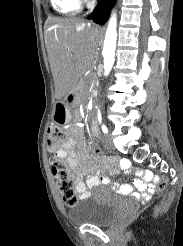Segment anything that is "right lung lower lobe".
I'll list each match as a JSON object with an SVG mask.
<instances>
[{
  "instance_id": "obj_1",
  "label": "right lung lower lobe",
  "mask_w": 183,
  "mask_h": 246,
  "mask_svg": "<svg viewBox=\"0 0 183 246\" xmlns=\"http://www.w3.org/2000/svg\"><path fill=\"white\" fill-rule=\"evenodd\" d=\"M115 0H103L93 11L92 20L95 23L104 24L110 15L111 8L113 7Z\"/></svg>"
}]
</instances>
